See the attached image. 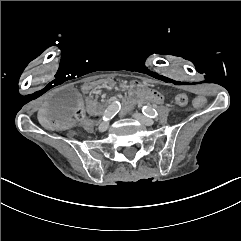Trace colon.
Returning <instances> with one entry per match:
<instances>
[{
    "instance_id": "colon-1",
    "label": "colon",
    "mask_w": 241,
    "mask_h": 241,
    "mask_svg": "<svg viewBox=\"0 0 241 241\" xmlns=\"http://www.w3.org/2000/svg\"><path fill=\"white\" fill-rule=\"evenodd\" d=\"M176 100H177V103L179 105H182V106L187 105L188 102H189V98H188L187 94L184 93V92L178 93L177 96H176ZM193 103H194V106L196 108L200 109V108H203L205 106L206 102H205V99L202 96L197 95V96L194 97ZM78 105L79 106L77 107V109L75 111V115H76L75 118H76L77 121L80 122V121L83 120L86 112H85L84 107L82 106L83 104L81 102Z\"/></svg>"
}]
</instances>
